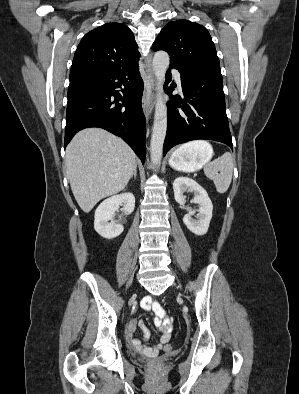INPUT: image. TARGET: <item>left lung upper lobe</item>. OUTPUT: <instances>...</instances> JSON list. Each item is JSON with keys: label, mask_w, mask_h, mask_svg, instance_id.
<instances>
[{"label": "left lung upper lobe", "mask_w": 299, "mask_h": 394, "mask_svg": "<svg viewBox=\"0 0 299 394\" xmlns=\"http://www.w3.org/2000/svg\"><path fill=\"white\" fill-rule=\"evenodd\" d=\"M170 55V67L185 73L210 71L220 73L215 45L208 30L188 20L169 22L152 46Z\"/></svg>", "instance_id": "5c2ea615"}]
</instances>
